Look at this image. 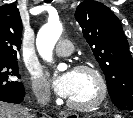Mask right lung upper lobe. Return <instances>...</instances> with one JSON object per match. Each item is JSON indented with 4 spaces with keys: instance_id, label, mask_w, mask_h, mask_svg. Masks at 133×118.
Here are the masks:
<instances>
[{
    "instance_id": "obj_1",
    "label": "right lung upper lobe",
    "mask_w": 133,
    "mask_h": 118,
    "mask_svg": "<svg viewBox=\"0 0 133 118\" xmlns=\"http://www.w3.org/2000/svg\"><path fill=\"white\" fill-rule=\"evenodd\" d=\"M22 22L15 5L0 6V61H17Z\"/></svg>"
}]
</instances>
